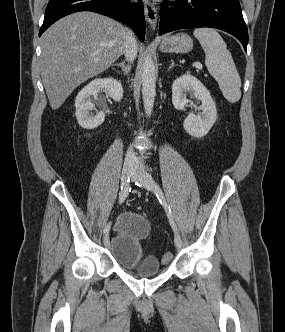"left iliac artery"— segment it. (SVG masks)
I'll return each instance as SVG.
<instances>
[{
    "instance_id": "left-iliac-artery-1",
    "label": "left iliac artery",
    "mask_w": 285,
    "mask_h": 332,
    "mask_svg": "<svg viewBox=\"0 0 285 332\" xmlns=\"http://www.w3.org/2000/svg\"><path fill=\"white\" fill-rule=\"evenodd\" d=\"M154 188H155V194L159 200V202L163 205V207L165 208V211L167 213V216H168V219H169V222H170V225L171 227L173 228V230L175 232L178 231L177 229V226L174 222V219H173V215H172V211H171V208L170 206H168L166 200H165V197H164V194L161 190V188L159 187V185L157 183L154 184Z\"/></svg>"
}]
</instances>
